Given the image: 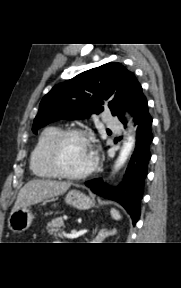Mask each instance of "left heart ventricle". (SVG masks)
<instances>
[{
	"instance_id": "1",
	"label": "left heart ventricle",
	"mask_w": 181,
	"mask_h": 288,
	"mask_svg": "<svg viewBox=\"0 0 181 288\" xmlns=\"http://www.w3.org/2000/svg\"><path fill=\"white\" fill-rule=\"evenodd\" d=\"M61 160L68 171L79 173L89 168L93 161V155L85 140L70 137L63 143Z\"/></svg>"
}]
</instances>
